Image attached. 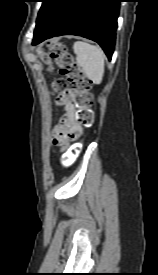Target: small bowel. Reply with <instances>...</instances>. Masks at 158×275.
Masks as SVG:
<instances>
[{
    "label": "small bowel",
    "mask_w": 158,
    "mask_h": 275,
    "mask_svg": "<svg viewBox=\"0 0 158 275\" xmlns=\"http://www.w3.org/2000/svg\"><path fill=\"white\" fill-rule=\"evenodd\" d=\"M72 100L71 92H66L58 98V103L65 107V114L54 128L52 143L56 147H64L81 136L82 128L75 120L76 112Z\"/></svg>",
    "instance_id": "1"
}]
</instances>
